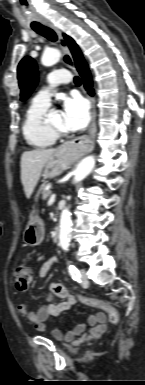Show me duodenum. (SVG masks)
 <instances>
[{
  "label": "duodenum",
  "mask_w": 145,
  "mask_h": 385,
  "mask_svg": "<svg viewBox=\"0 0 145 385\" xmlns=\"http://www.w3.org/2000/svg\"><path fill=\"white\" fill-rule=\"evenodd\" d=\"M53 241H54L55 243H57V242L59 241V230H58V229H55V230L53 231Z\"/></svg>",
  "instance_id": "1"
}]
</instances>
